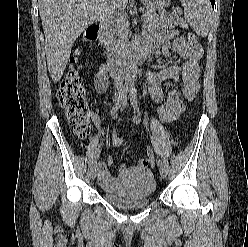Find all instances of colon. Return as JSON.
Segmentation results:
<instances>
[{"label":"colon","mask_w":248,"mask_h":247,"mask_svg":"<svg viewBox=\"0 0 248 247\" xmlns=\"http://www.w3.org/2000/svg\"><path fill=\"white\" fill-rule=\"evenodd\" d=\"M83 41L90 42L97 39V26L92 24L86 28L82 36ZM188 41L196 43L197 37L194 34L188 35ZM77 53L71 58L70 69L65 78L59 84L57 98L63 108L69 127L72 132L81 140L88 137L90 133L89 109L85 94V87L79 74L73 68L76 63ZM158 117L161 123L169 122V112L166 103L158 106ZM153 142L147 147V159L151 167L156 164L153 151Z\"/></svg>","instance_id":"obj_1"}]
</instances>
